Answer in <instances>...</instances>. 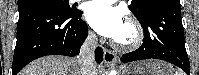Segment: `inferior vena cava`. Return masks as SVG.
<instances>
[{
	"instance_id": "obj_1",
	"label": "inferior vena cava",
	"mask_w": 199,
	"mask_h": 75,
	"mask_svg": "<svg viewBox=\"0 0 199 75\" xmlns=\"http://www.w3.org/2000/svg\"><path fill=\"white\" fill-rule=\"evenodd\" d=\"M96 46L97 37L95 34L90 33L84 41L80 49V54L77 58L83 66L82 75H96V67L94 60V50Z\"/></svg>"
}]
</instances>
